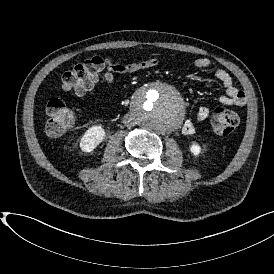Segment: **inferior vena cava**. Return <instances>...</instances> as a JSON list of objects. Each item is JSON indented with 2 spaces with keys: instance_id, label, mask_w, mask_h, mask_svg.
<instances>
[{
  "instance_id": "602c4592",
  "label": "inferior vena cava",
  "mask_w": 274,
  "mask_h": 274,
  "mask_svg": "<svg viewBox=\"0 0 274 274\" xmlns=\"http://www.w3.org/2000/svg\"><path fill=\"white\" fill-rule=\"evenodd\" d=\"M123 123H124L126 126H128V127L134 125L133 120H132V119H128V118H125V119L123 120Z\"/></svg>"
}]
</instances>
